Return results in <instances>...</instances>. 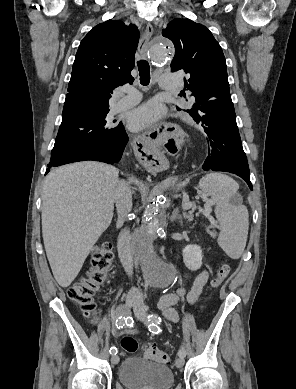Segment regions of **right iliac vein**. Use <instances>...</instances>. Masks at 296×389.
Returning <instances> with one entry per match:
<instances>
[{
	"label": "right iliac vein",
	"instance_id": "right-iliac-vein-1",
	"mask_svg": "<svg viewBox=\"0 0 296 389\" xmlns=\"http://www.w3.org/2000/svg\"><path fill=\"white\" fill-rule=\"evenodd\" d=\"M137 299L136 297L131 294V293H128L125 297V303H126V312H128L129 308L132 307L135 303H136ZM119 356L118 355H114L112 356L111 358V361L113 364H118L119 362Z\"/></svg>",
	"mask_w": 296,
	"mask_h": 389
}]
</instances>
